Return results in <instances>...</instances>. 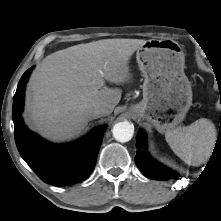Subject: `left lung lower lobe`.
Wrapping results in <instances>:
<instances>
[{"label":"left lung lower lobe","mask_w":221,"mask_h":221,"mask_svg":"<svg viewBox=\"0 0 221 221\" xmlns=\"http://www.w3.org/2000/svg\"><path fill=\"white\" fill-rule=\"evenodd\" d=\"M217 144H221V133L218 134ZM136 147L137 155L135 157V162L145 176L154 180L164 181L169 179L177 180L179 178V174L158 163L149 155L148 151L145 149L146 134L142 130L137 135Z\"/></svg>","instance_id":"1"}]
</instances>
